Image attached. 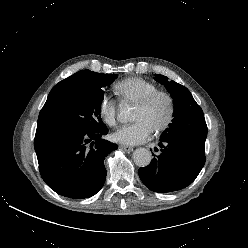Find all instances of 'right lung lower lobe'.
Instances as JSON below:
<instances>
[{
    "label": "right lung lower lobe",
    "instance_id": "98d812e1",
    "mask_svg": "<svg viewBox=\"0 0 248 248\" xmlns=\"http://www.w3.org/2000/svg\"><path fill=\"white\" fill-rule=\"evenodd\" d=\"M108 133L99 130H36L34 148L40 174L59 195L83 199L98 193L106 179L104 159L118 146L102 139Z\"/></svg>",
    "mask_w": 248,
    "mask_h": 248
}]
</instances>
